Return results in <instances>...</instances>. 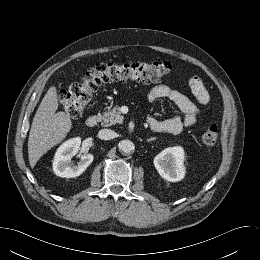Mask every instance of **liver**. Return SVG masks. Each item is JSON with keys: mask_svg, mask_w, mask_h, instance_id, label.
Instances as JSON below:
<instances>
[{"mask_svg": "<svg viewBox=\"0 0 260 260\" xmlns=\"http://www.w3.org/2000/svg\"><path fill=\"white\" fill-rule=\"evenodd\" d=\"M57 90L48 89L33 118L29 138L28 157L31 168L52 147L59 144L72 128V122L65 112H57Z\"/></svg>", "mask_w": 260, "mask_h": 260, "instance_id": "liver-1", "label": "liver"}]
</instances>
